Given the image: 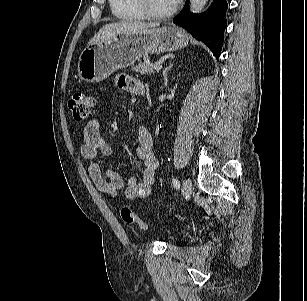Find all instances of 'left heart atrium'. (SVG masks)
Masks as SVG:
<instances>
[{
	"label": "left heart atrium",
	"mask_w": 307,
	"mask_h": 301,
	"mask_svg": "<svg viewBox=\"0 0 307 301\" xmlns=\"http://www.w3.org/2000/svg\"><path fill=\"white\" fill-rule=\"evenodd\" d=\"M178 1H179V0H172V2H173L174 4H176Z\"/></svg>",
	"instance_id": "39dd6f15"
}]
</instances>
